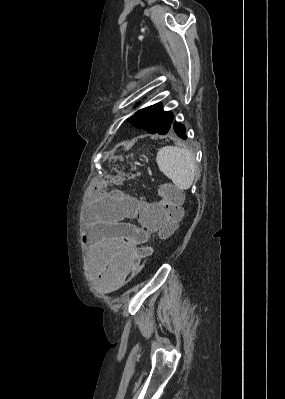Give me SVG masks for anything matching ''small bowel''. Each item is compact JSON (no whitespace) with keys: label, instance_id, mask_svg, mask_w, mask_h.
Segmentation results:
<instances>
[{"label":"small bowel","instance_id":"small-bowel-1","mask_svg":"<svg viewBox=\"0 0 285 399\" xmlns=\"http://www.w3.org/2000/svg\"><path fill=\"white\" fill-rule=\"evenodd\" d=\"M124 226L118 235L106 237L100 250L103 255H93L90 266L101 283L109 290H117L131 276L136 248L148 242L149 236L160 230L168 220L159 202L147 205L137 198L118 213ZM137 219L138 225L130 222Z\"/></svg>","mask_w":285,"mask_h":399}]
</instances>
